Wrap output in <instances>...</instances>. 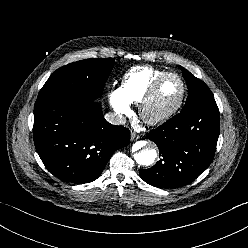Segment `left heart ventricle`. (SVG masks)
<instances>
[{
	"instance_id": "obj_1",
	"label": "left heart ventricle",
	"mask_w": 248,
	"mask_h": 248,
	"mask_svg": "<svg viewBox=\"0 0 248 248\" xmlns=\"http://www.w3.org/2000/svg\"><path fill=\"white\" fill-rule=\"evenodd\" d=\"M181 83L178 78L170 76L161 84L156 96L155 106L158 109L173 105L180 97Z\"/></svg>"
}]
</instances>
